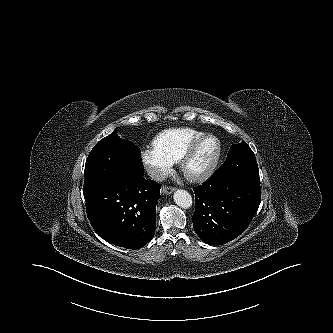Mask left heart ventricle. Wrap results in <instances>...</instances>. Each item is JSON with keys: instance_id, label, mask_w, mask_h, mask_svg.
I'll return each instance as SVG.
<instances>
[{"instance_id": "1", "label": "left heart ventricle", "mask_w": 333, "mask_h": 333, "mask_svg": "<svg viewBox=\"0 0 333 333\" xmlns=\"http://www.w3.org/2000/svg\"><path fill=\"white\" fill-rule=\"evenodd\" d=\"M216 148L214 140L206 141L198 150L196 156L190 164V169L193 171L201 169L212 157Z\"/></svg>"}]
</instances>
